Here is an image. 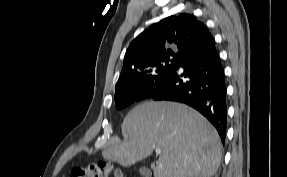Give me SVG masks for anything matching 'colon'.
Here are the masks:
<instances>
[{
    "mask_svg": "<svg viewBox=\"0 0 287 177\" xmlns=\"http://www.w3.org/2000/svg\"><path fill=\"white\" fill-rule=\"evenodd\" d=\"M72 177H123L119 169L114 168L111 163L95 161L86 167L75 168Z\"/></svg>",
    "mask_w": 287,
    "mask_h": 177,
    "instance_id": "obj_1",
    "label": "colon"
}]
</instances>
